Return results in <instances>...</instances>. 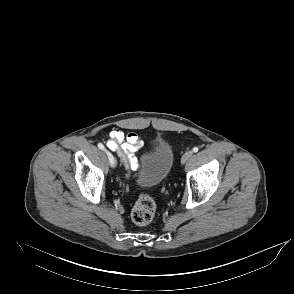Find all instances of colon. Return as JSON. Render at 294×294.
Wrapping results in <instances>:
<instances>
[{
	"mask_svg": "<svg viewBox=\"0 0 294 294\" xmlns=\"http://www.w3.org/2000/svg\"><path fill=\"white\" fill-rule=\"evenodd\" d=\"M156 205L153 198L148 194H141L135 202L131 217L138 226H146L155 216Z\"/></svg>",
	"mask_w": 294,
	"mask_h": 294,
	"instance_id": "1",
	"label": "colon"
}]
</instances>
